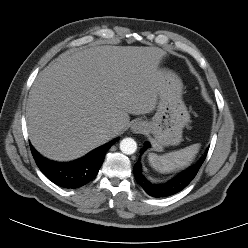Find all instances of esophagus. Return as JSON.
<instances>
[{"mask_svg":"<svg viewBox=\"0 0 248 248\" xmlns=\"http://www.w3.org/2000/svg\"><path fill=\"white\" fill-rule=\"evenodd\" d=\"M131 130L133 133H143L145 131V125L141 121H136L133 123Z\"/></svg>","mask_w":248,"mask_h":248,"instance_id":"34e87169","label":"esophagus"}]
</instances>
